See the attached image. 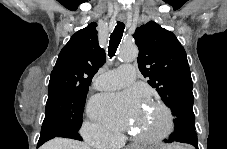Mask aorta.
Instances as JSON below:
<instances>
[{"instance_id":"1","label":"aorta","mask_w":227,"mask_h":149,"mask_svg":"<svg viewBox=\"0 0 227 149\" xmlns=\"http://www.w3.org/2000/svg\"><path fill=\"white\" fill-rule=\"evenodd\" d=\"M138 56V50L133 46H124L120 53L119 59L122 61H134Z\"/></svg>"}]
</instances>
